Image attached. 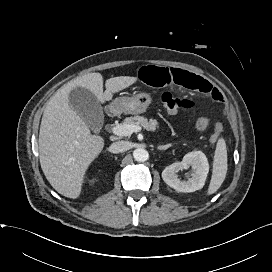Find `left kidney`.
<instances>
[{
	"label": "left kidney",
	"mask_w": 272,
	"mask_h": 272,
	"mask_svg": "<svg viewBox=\"0 0 272 272\" xmlns=\"http://www.w3.org/2000/svg\"><path fill=\"white\" fill-rule=\"evenodd\" d=\"M192 167L194 173L187 180L181 181L178 172ZM209 164L205 154L201 151L187 153L181 162H175L167 166L162 172V178L167 185L178 192H194L203 188Z\"/></svg>",
	"instance_id": "left-kidney-1"
}]
</instances>
